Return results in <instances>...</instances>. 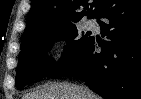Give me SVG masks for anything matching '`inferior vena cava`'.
Segmentation results:
<instances>
[{
	"instance_id": "obj_1",
	"label": "inferior vena cava",
	"mask_w": 141,
	"mask_h": 99,
	"mask_svg": "<svg viewBox=\"0 0 141 99\" xmlns=\"http://www.w3.org/2000/svg\"><path fill=\"white\" fill-rule=\"evenodd\" d=\"M81 89L84 90V91L86 92V94H87L88 97H90V92H89V90H88L87 87H85V86H81Z\"/></svg>"
}]
</instances>
